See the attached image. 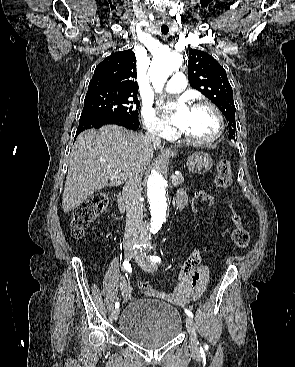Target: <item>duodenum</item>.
Here are the masks:
<instances>
[{
    "label": "duodenum",
    "mask_w": 295,
    "mask_h": 367,
    "mask_svg": "<svg viewBox=\"0 0 295 367\" xmlns=\"http://www.w3.org/2000/svg\"><path fill=\"white\" fill-rule=\"evenodd\" d=\"M117 203H118V207H119V210L121 212H125L126 209H127V204H126V200H125V197L122 193L119 194L118 196V199H117ZM178 207L181 208L184 206L183 203H177Z\"/></svg>",
    "instance_id": "duodenum-1"
}]
</instances>
